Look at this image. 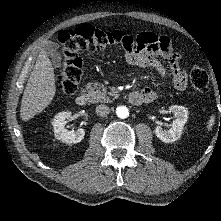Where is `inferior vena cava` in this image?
Wrapping results in <instances>:
<instances>
[{
    "label": "inferior vena cava",
    "instance_id": "602c4592",
    "mask_svg": "<svg viewBox=\"0 0 221 221\" xmlns=\"http://www.w3.org/2000/svg\"><path fill=\"white\" fill-rule=\"evenodd\" d=\"M109 112H110V109L107 105L102 104L96 107V113L99 116L105 117L109 114Z\"/></svg>",
    "mask_w": 221,
    "mask_h": 221
}]
</instances>
